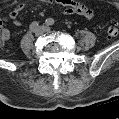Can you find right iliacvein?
Segmentation results:
<instances>
[{
    "label": "right iliac vein",
    "mask_w": 119,
    "mask_h": 119,
    "mask_svg": "<svg viewBox=\"0 0 119 119\" xmlns=\"http://www.w3.org/2000/svg\"><path fill=\"white\" fill-rule=\"evenodd\" d=\"M44 32H45L44 27H39V28L35 31V35H36V36H41Z\"/></svg>",
    "instance_id": "obj_1"
}]
</instances>
